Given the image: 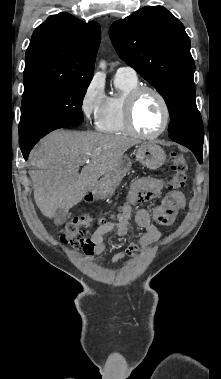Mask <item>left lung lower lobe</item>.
Masks as SVG:
<instances>
[{"mask_svg":"<svg viewBox=\"0 0 221 379\" xmlns=\"http://www.w3.org/2000/svg\"><path fill=\"white\" fill-rule=\"evenodd\" d=\"M177 143H180L184 146H186L187 148H189L194 154L195 156L197 157L198 161L200 163H202V154H203V148L202 147H199L197 145H194L192 143H189V142H186V141H182V140H173Z\"/></svg>","mask_w":221,"mask_h":379,"instance_id":"left-lung-lower-lobe-1","label":"left lung lower lobe"}]
</instances>
